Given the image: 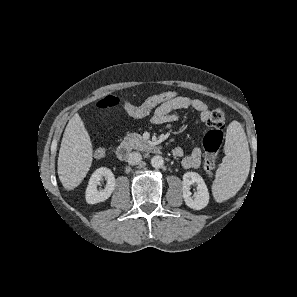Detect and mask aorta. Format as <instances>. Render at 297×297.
<instances>
[{
  "mask_svg": "<svg viewBox=\"0 0 297 297\" xmlns=\"http://www.w3.org/2000/svg\"><path fill=\"white\" fill-rule=\"evenodd\" d=\"M151 165H152V167H154L156 169L162 168L164 165L163 157L158 156V155L154 156L151 159Z\"/></svg>",
  "mask_w": 297,
  "mask_h": 297,
  "instance_id": "762f6f07",
  "label": "aorta"
}]
</instances>
